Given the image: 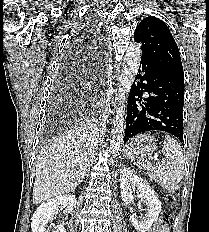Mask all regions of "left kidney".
Here are the masks:
<instances>
[{
  "instance_id": "1",
  "label": "left kidney",
  "mask_w": 209,
  "mask_h": 232,
  "mask_svg": "<svg viewBox=\"0 0 209 232\" xmlns=\"http://www.w3.org/2000/svg\"><path fill=\"white\" fill-rule=\"evenodd\" d=\"M135 188L138 191V198L146 204L148 212L142 221H138L134 216L130 217V221L138 232H146L157 221L161 211V202L147 182L135 175L128 167H123L120 171V189L121 198L125 204L134 201L132 189Z\"/></svg>"
}]
</instances>
